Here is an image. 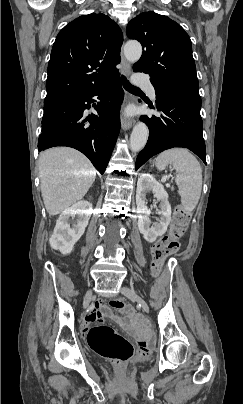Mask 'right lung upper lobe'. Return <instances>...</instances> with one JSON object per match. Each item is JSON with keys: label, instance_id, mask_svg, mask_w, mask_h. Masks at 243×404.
<instances>
[{"label": "right lung upper lobe", "instance_id": "right-lung-upper-lobe-1", "mask_svg": "<svg viewBox=\"0 0 243 404\" xmlns=\"http://www.w3.org/2000/svg\"><path fill=\"white\" fill-rule=\"evenodd\" d=\"M123 35L104 14L78 17L57 35L48 64L45 104L79 96L115 77Z\"/></svg>", "mask_w": 243, "mask_h": 404}]
</instances>
